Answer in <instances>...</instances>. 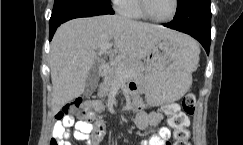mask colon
<instances>
[{
	"instance_id": "colon-1",
	"label": "colon",
	"mask_w": 243,
	"mask_h": 145,
	"mask_svg": "<svg viewBox=\"0 0 243 145\" xmlns=\"http://www.w3.org/2000/svg\"><path fill=\"white\" fill-rule=\"evenodd\" d=\"M182 109L175 103L166 104L163 106V113L168 117V124L173 129V142L168 145H190V132L188 129V116L195 112V98L193 95H187L182 101ZM73 115L84 118L89 116L82 98H77L72 102L66 104L57 113L56 118L62 120ZM60 140L52 138L50 145H60Z\"/></svg>"
}]
</instances>
